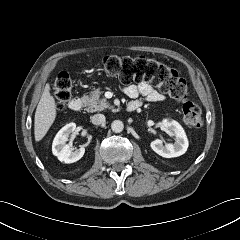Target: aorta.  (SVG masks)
Returning a JSON list of instances; mask_svg holds the SVG:
<instances>
[{"label": "aorta", "mask_w": 240, "mask_h": 240, "mask_svg": "<svg viewBox=\"0 0 240 240\" xmlns=\"http://www.w3.org/2000/svg\"><path fill=\"white\" fill-rule=\"evenodd\" d=\"M111 129L115 133H120L124 129V124L120 120H114L111 124Z\"/></svg>", "instance_id": "aorta-1"}]
</instances>
